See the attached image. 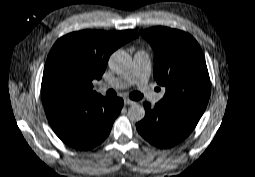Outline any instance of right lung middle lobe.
I'll list each match as a JSON object with an SVG mask.
<instances>
[{"label":"right lung middle lobe","mask_w":255,"mask_h":177,"mask_svg":"<svg viewBox=\"0 0 255 177\" xmlns=\"http://www.w3.org/2000/svg\"><path fill=\"white\" fill-rule=\"evenodd\" d=\"M49 99L51 102L77 99V92L71 82H65L50 91Z\"/></svg>","instance_id":"dd1d6c3e"}]
</instances>
